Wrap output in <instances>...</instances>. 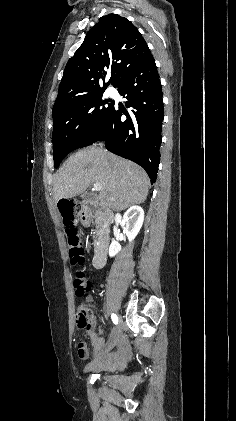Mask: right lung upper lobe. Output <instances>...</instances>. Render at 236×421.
<instances>
[{"mask_svg": "<svg viewBox=\"0 0 236 421\" xmlns=\"http://www.w3.org/2000/svg\"><path fill=\"white\" fill-rule=\"evenodd\" d=\"M150 55L144 38L128 19L117 14L101 17L67 62L53 110L75 98L104 91ZM108 68L111 76L105 83Z\"/></svg>", "mask_w": 236, "mask_h": 421, "instance_id": "right-lung-upper-lobe-1", "label": "right lung upper lobe"}]
</instances>
